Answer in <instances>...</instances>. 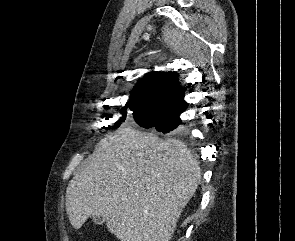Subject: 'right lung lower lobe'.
Masks as SVG:
<instances>
[{
	"instance_id": "obj_1",
	"label": "right lung lower lobe",
	"mask_w": 295,
	"mask_h": 241,
	"mask_svg": "<svg viewBox=\"0 0 295 241\" xmlns=\"http://www.w3.org/2000/svg\"><path fill=\"white\" fill-rule=\"evenodd\" d=\"M185 109L186 108L172 114L171 116H168L164 120L157 121L147 128H155L158 132L162 133H178L180 126L182 124V121L179 118V116Z\"/></svg>"
}]
</instances>
